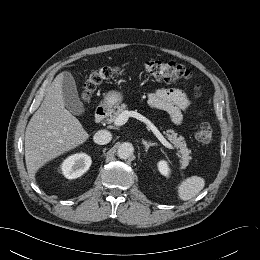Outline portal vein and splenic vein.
I'll return each instance as SVG.
<instances>
[{
	"label": "portal vein and splenic vein",
	"instance_id": "obj_1",
	"mask_svg": "<svg viewBox=\"0 0 260 260\" xmlns=\"http://www.w3.org/2000/svg\"><path fill=\"white\" fill-rule=\"evenodd\" d=\"M129 117H134V118L140 120L141 122L145 123L147 125V127L156 135V137L159 139V141L165 147H167L169 149H173V146L168 141H166V139L159 132L157 127L149 119H147L146 117H144L140 113H137L135 111L125 110L115 119L114 125L115 126H122L123 124H125L127 122Z\"/></svg>",
	"mask_w": 260,
	"mask_h": 260
}]
</instances>
